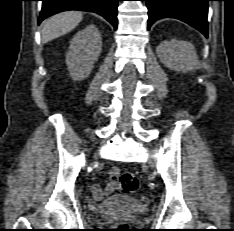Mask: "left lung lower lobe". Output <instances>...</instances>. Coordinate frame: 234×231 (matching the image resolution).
<instances>
[{"instance_id": "0a47b994", "label": "left lung lower lobe", "mask_w": 234, "mask_h": 231, "mask_svg": "<svg viewBox=\"0 0 234 231\" xmlns=\"http://www.w3.org/2000/svg\"><path fill=\"white\" fill-rule=\"evenodd\" d=\"M148 8V29L160 18L186 22L208 37V1L211 0H143Z\"/></svg>"}]
</instances>
